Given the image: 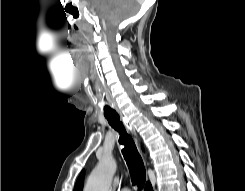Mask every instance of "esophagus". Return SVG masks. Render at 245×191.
<instances>
[{
    "label": "esophagus",
    "instance_id": "esophagus-1",
    "mask_svg": "<svg viewBox=\"0 0 245 191\" xmlns=\"http://www.w3.org/2000/svg\"><path fill=\"white\" fill-rule=\"evenodd\" d=\"M119 115H120V117H121L122 122H123L124 125L126 126V128H127L130 132H132V133L135 135L136 133H135V130H134L133 126L130 125V124L128 123V121H126V119L123 117V115H122L120 112H119Z\"/></svg>",
    "mask_w": 245,
    "mask_h": 191
}]
</instances>
